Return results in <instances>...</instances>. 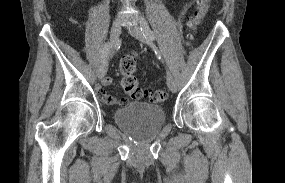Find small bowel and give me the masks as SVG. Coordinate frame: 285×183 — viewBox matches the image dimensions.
<instances>
[{"mask_svg":"<svg viewBox=\"0 0 285 183\" xmlns=\"http://www.w3.org/2000/svg\"><path fill=\"white\" fill-rule=\"evenodd\" d=\"M135 56H137V54L135 53ZM111 83V79L110 78H105L102 82V84L104 86L109 85ZM96 92L98 94V96L105 102L110 103V104H114L113 103V99H115L113 96L109 95L106 93V91L104 90L103 87H97L96 88ZM125 103V102H124Z\"/></svg>","mask_w":285,"mask_h":183,"instance_id":"obj_1","label":"small bowel"}]
</instances>
